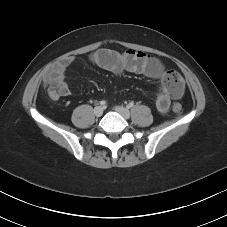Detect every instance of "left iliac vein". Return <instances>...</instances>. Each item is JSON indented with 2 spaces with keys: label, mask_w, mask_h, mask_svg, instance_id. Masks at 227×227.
Here are the masks:
<instances>
[{
  "label": "left iliac vein",
  "mask_w": 227,
  "mask_h": 227,
  "mask_svg": "<svg viewBox=\"0 0 227 227\" xmlns=\"http://www.w3.org/2000/svg\"><path fill=\"white\" fill-rule=\"evenodd\" d=\"M115 111H117L123 118L129 119L130 118V111L122 106H116Z\"/></svg>",
  "instance_id": "1"
}]
</instances>
